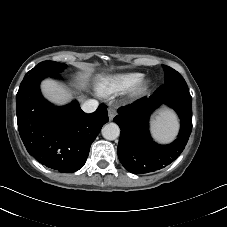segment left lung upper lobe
Here are the masks:
<instances>
[{
  "mask_svg": "<svg viewBox=\"0 0 227 227\" xmlns=\"http://www.w3.org/2000/svg\"><path fill=\"white\" fill-rule=\"evenodd\" d=\"M162 67L165 73L164 84H185L186 83L184 78L176 70L166 65H162Z\"/></svg>",
  "mask_w": 227,
  "mask_h": 227,
  "instance_id": "obj_1",
  "label": "left lung upper lobe"
}]
</instances>
